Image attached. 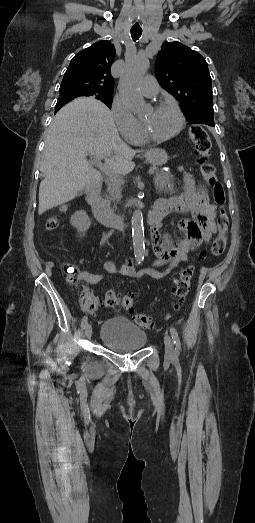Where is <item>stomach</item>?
I'll return each mask as SVG.
<instances>
[{
	"label": "stomach",
	"mask_w": 255,
	"mask_h": 523,
	"mask_svg": "<svg viewBox=\"0 0 255 523\" xmlns=\"http://www.w3.org/2000/svg\"><path fill=\"white\" fill-rule=\"evenodd\" d=\"M145 158L149 164L152 166H163L167 162V154L164 150H159V148H154V150H149L146 152Z\"/></svg>",
	"instance_id": "stomach-1"
}]
</instances>
